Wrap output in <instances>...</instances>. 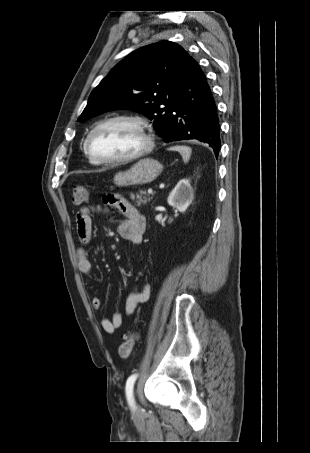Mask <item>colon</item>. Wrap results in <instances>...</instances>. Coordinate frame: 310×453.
Listing matches in <instances>:
<instances>
[{
	"label": "colon",
	"instance_id": "colon-1",
	"mask_svg": "<svg viewBox=\"0 0 310 453\" xmlns=\"http://www.w3.org/2000/svg\"><path fill=\"white\" fill-rule=\"evenodd\" d=\"M88 199V190L84 185H74L72 187V201L75 205H81ZM137 335L131 333L125 336L124 341L118 348V355L122 359L129 358L134 350Z\"/></svg>",
	"mask_w": 310,
	"mask_h": 453
}]
</instances>
